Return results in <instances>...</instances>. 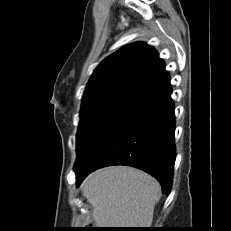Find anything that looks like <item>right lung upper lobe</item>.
I'll return each instance as SVG.
<instances>
[{
	"label": "right lung upper lobe",
	"mask_w": 231,
	"mask_h": 231,
	"mask_svg": "<svg viewBox=\"0 0 231 231\" xmlns=\"http://www.w3.org/2000/svg\"><path fill=\"white\" fill-rule=\"evenodd\" d=\"M171 93L170 76L157 51L146 43L136 42L98 65L84 91L81 108L108 95L127 94L149 103Z\"/></svg>",
	"instance_id": "cb5924a9"
}]
</instances>
